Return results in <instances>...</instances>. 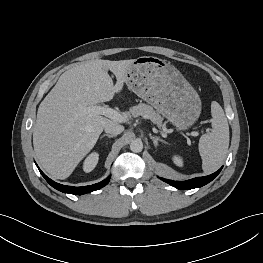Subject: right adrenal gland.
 Returning a JSON list of instances; mask_svg holds the SVG:
<instances>
[{
    "label": "right adrenal gland",
    "instance_id": "2a0ac1e0",
    "mask_svg": "<svg viewBox=\"0 0 263 263\" xmlns=\"http://www.w3.org/2000/svg\"><path fill=\"white\" fill-rule=\"evenodd\" d=\"M103 137H108V138H112L114 137V135H110V134H103L100 139H102Z\"/></svg>",
    "mask_w": 263,
    "mask_h": 263
}]
</instances>
